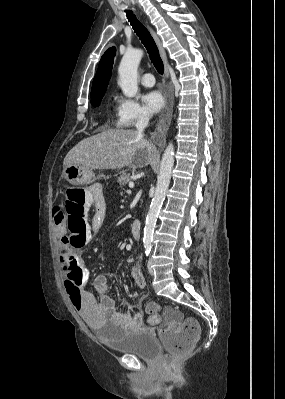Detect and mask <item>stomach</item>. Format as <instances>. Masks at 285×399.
<instances>
[{"label":"stomach","mask_w":285,"mask_h":399,"mask_svg":"<svg viewBox=\"0 0 285 399\" xmlns=\"http://www.w3.org/2000/svg\"><path fill=\"white\" fill-rule=\"evenodd\" d=\"M62 176L72 185L90 184L95 180L91 170L78 165L65 166Z\"/></svg>","instance_id":"stomach-1"}]
</instances>
